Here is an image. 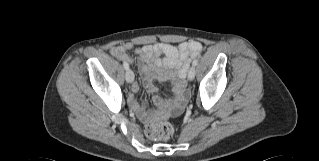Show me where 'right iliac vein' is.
Listing matches in <instances>:
<instances>
[{"label":"right iliac vein","instance_id":"63e3f726","mask_svg":"<svg viewBox=\"0 0 319 161\" xmlns=\"http://www.w3.org/2000/svg\"><path fill=\"white\" fill-rule=\"evenodd\" d=\"M134 80V73L131 69H127L126 71V81L128 83H132Z\"/></svg>","mask_w":319,"mask_h":161}]
</instances>
